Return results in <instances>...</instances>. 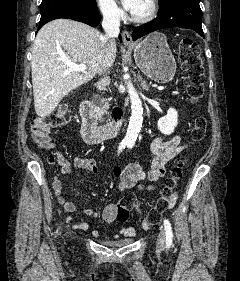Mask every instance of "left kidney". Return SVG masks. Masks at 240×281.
<instances>
[{"instance_id":"obj_1","label":"left kidney","mask_w":240,"mask_h":281,"mask_svg":"<svg viewBox=\"0 0 240 281\" xmlns=\"http://www.w3.org/2000/svg\"><path fill=\"white\" fill-rule=\"evenodd\" d=\"M178 124V113L174 108H169L167 115L158 120V129L165 135H170Z\"/></svg>"}]
</instances>
